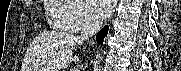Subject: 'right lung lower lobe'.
Wrapping results in <instances>:
<instances>
[{
	"label": "right lung lower lobe",
	"instance_id": "1",
	"mask_svg": "<svg viewBox=\"0 0 181 71\" xmlns=\"http://www.w3.org/2000/svg\"><path fill=\"white\" fill-rule=\"evenodd\" d=\"M107 33H108V26H105L96 35L97 42L101 44L103 42L104 37L107 35Z\"/></svg>",
	"mask_w": 181,
	"mask_h": 71
}]
</instances>
